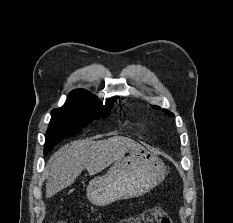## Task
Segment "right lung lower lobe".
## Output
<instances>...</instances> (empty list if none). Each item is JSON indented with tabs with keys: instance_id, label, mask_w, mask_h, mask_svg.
<instances>
[{
	"instance_id": "obj_1",
	"label": "right lung lower lobe",
	"mask_w": 233,
	"mask_h": 223,
	"mask_svg": "<svg viewBox=\"0 0 233 223\" xmlns=\"http://www.w3.org/2000/svg\"><path fill=\"white\" fill-rule=\"evenodd\" d=\"M47 153H48V152H47ZM47 153H45V152H44V155L46 156V155H47Z\"/></svg>"
}]
</instances>
